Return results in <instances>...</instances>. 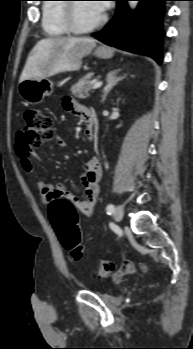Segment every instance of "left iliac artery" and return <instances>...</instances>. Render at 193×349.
<instances>
[{"label":"left iliac artery","instance_id":"44dca946","mask_svg":"<svg viewBox=\"0 0 193 349\" xmlns=\"http://www.w3.org/2000/svg\"><path fill=\"white\" fill-rule=\"evenodd\" d=\"M114 209H115L114 205L113 204H109L107 206V209H106L107 214H112L114 212Z\"/></svg>","mask_w":193,"mask_h":349}]
</instances>
